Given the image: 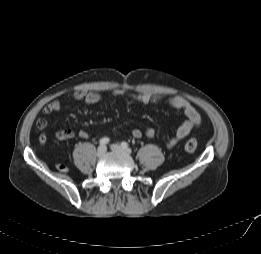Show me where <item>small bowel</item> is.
<instances>
[{
  "instance_id": "small-bowel-1",
  "label": "small bowel",
  "mask_w": 261,
  "mask_h": 254,
  "mask_svg": "<svg viewBox=\"0 0 261 254\" xmlns=\"http://www.w3.org/2000/svg\"><path fill=\"white\" fill-rule=\"evenodd\" d=\"M114 96L117 97H132L133 99L143 103L149 104L154 100L161 98V95L144 91L137 94H129L124 89L115 90L113 92ZM70 97L77 101H83L86 104H96L102 100L100 94L95 92H86L83 90H78L70 94ZM164 99L174 108L182 110L184 115L186 116V120L178 127L175 136L168 141L167 146L169 148H174L181 140L187 137L191 130L194 127H197L201 124V116L195 107L186 99L180 96H165ZM62 103L59 99H55L48 103L44 109L43 113L46 115L57 113L61 110ZM47 127V121L44 118H40L37 121L36 129L39 133V139L42 144L46 143L47 135L45 133V129ZM131 134L134 138H141L143 132L139 129H133ZM76 133L71 129L59 130L55 133V138L58 140H70L74 138ZM145 135L148 138H152L155 135V129L150 127L145 131ZM78 136L81 138H87L88 135L85 131L81 130L78 132Z\"/></svg>"
}]
</instances>
